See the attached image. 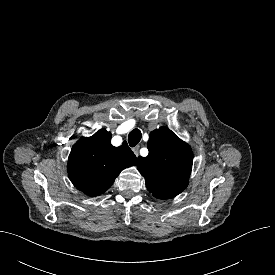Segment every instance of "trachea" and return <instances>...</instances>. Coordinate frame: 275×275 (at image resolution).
<instances>
[{"label": "trachea", "mask_w": 275, "mask_h": 275, "mask_svg": "<svg viewBox=\"0 0 275 275\" xmlns=\"http://www.w3.org/2000/svg\"><path fill=\"white\" fill-rule=\"evenodd\" d=\"M142 134L139 129L132 130L128 135V142L130 147H135L141 140Z\"/></svg>", "instance_id": "3493384b"}]
</instances>
